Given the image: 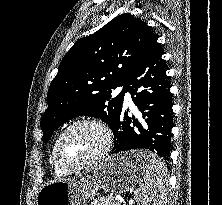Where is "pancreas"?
I'll return each instance as SVG.
<instances>
[{
  "label": "pancreas",
  "instance_id": "1",
  "mask_svg": "<svg viewBox=\"0 0 222 205\" xmlns=\"http://www.w3.org/2000/svg\"><path fill=\"white\" fill-rule=\"evenodd\" d=\"M91 205H120V202L113 196H108L94 200Z\"/></svg>",
  "mask_w": 222,
  "mask_h": 205
}]
</instances>
